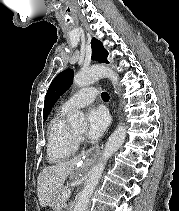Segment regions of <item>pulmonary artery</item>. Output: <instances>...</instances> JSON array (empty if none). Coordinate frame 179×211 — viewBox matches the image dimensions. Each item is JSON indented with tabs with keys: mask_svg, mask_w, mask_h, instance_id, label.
<instances>
[{
	"mask_svg": "<svg viewBox=\"0 0 179 211\" xmlns=\"http://www.w3.org/2000/svg\"><path fill=\"white\" fill-rule=\"evenodd\" d=\"M98 95V91L94 87H87L79 90L68 100H66L61 109L71 112L91 104Z\"/></svg>",
	"mask_w": 179,
	"mask_h": 211,
	"instance_id": "e3ab8cb5",
	"label": "pulmonary artery"
}]
</instances>
